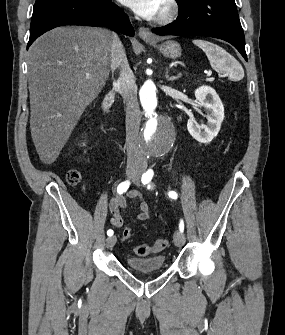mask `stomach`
<instances>
[{
    "instance_id": "obj_1",
    "label": "stomach",
    "mask_w": 285,
    "mask_h": 335,
    "mask_svg": "<svg viewBox=\"0 0 285 335\" xmlns=\"http://www.w3.org/2000/svg\"><path fill=\"white\" fill-rule=\"evenodd\" d=\"M152 46H155V44H152ZM155 48H158L165 58L175 60V58H180L181 56V48L178 42H174V40H167V42H163V44L155 46Z\"/></svg>"
}]
</instances>
